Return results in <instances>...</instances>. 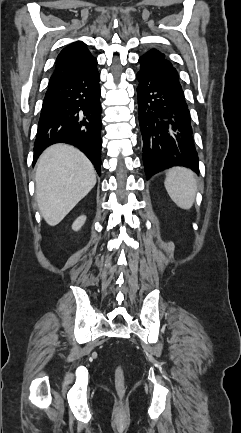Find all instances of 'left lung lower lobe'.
<instances>
[{
	"label": "left lung lower lobe",
	"instance_id": "1",
	"mask_svg": "<svg viewBox=\"0 0 241 433\" xmlns=\"http://www.w3.org/2000/svg\"><path fill=\"white\" fill-rule=\"evenodd\" d=\"M136 77L147 178L173 166L199 172L190 112L176 80L155 70H139Z\"/></svg>",
	"mask_w": 241,
	"mask_h": 433
}]
</instances>
